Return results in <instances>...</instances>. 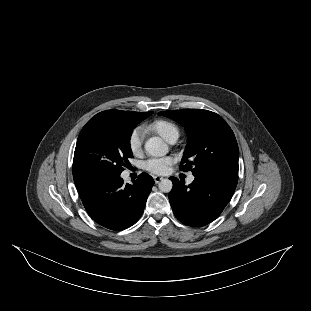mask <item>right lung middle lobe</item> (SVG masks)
I'll return each instance as SVG.
<instances>
[{"instance_id": "obj_1", "label": "right lung middle lobe", "mask_w": 311, "mask_h": 311, "mask_svg": "<svg viewBox=\"0 0 311 311\" xmlns=\"http://www.w3.org/2000/svg\"><path fill=\"white\" fill-rule=\"evenodd\" d=\"M153 112L120 113L103 111L82 128L73 159L74 181L98 176H119L133 154V129Z\"/></svg>"}]
</instances>
